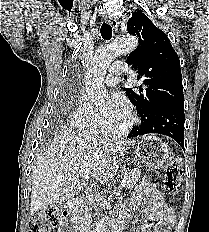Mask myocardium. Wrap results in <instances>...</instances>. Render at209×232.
Listing matches in <instances>:
<instances>
[{"instance_id": "obj_1", "label": "myocardium", "mask_w": 209, "mask_h": 232, "mask_svg": "<svg viewBox=\"0 0 209 232\" xmlns=\"http://www.w3.org/2000/svg\"><path fill=\"white\" fill-rule=\"evenodd\" d=\"M136 121H137V118L135 114H133L132 112H129L128 120L125 124L121 126H117V127L109 126L108 132L114 136L126 135L134 127V125L136 124Z\"/></svg>"}]
</instances>
